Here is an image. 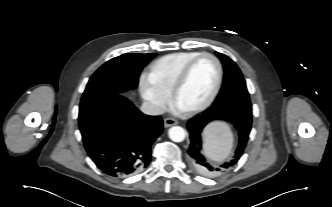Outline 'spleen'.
Instances as JSON below:
<instances>
[{"label":"spleen","mask_w":332,"mask_h":207,"mask_svg":"<svg viewBox=\"0 0 332 207\" xmlns=\"http://www.w3.org/2000/svg\"><path fill=\"white\" fill-rule=\"evenodd\" d=\"M233 133L231 128L223 123H213L204 132V153L214 161H223L231 153Z\"/></svg>","instance_id":"obj_1"}]
</instances>
